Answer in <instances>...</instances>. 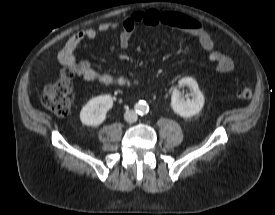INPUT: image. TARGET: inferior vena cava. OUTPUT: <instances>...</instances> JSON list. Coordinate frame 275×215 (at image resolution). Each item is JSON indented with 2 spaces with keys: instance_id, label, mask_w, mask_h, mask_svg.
<instances>
[{
  "instance_id": "obj_1",
  "label": "inferior vena cava",
  "mask_w": 275,
  "mask_h": 215,
  "mask_svg": "<svg viewBox=\"0 0 275 215\" xmlns=\"http://www.w3.org/2000/svg\"><path fill=\"white\" fill-rule=\"evenodd\" d=\"M137 118V113L133 110H128L124 113V119L129 123L135 122Z\"/></svg>"
}]
</instances>
